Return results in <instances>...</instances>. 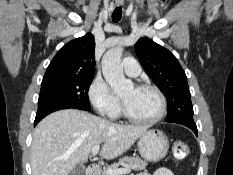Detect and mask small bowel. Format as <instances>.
<instances>
[{"label":"small bowel","instance_id":"small-bowel-1","mask_svg":"<svg viewBox=\"0 0 233 175\" xmlns=\"http://www.w3.org/2000/svg\"><path fill=\"white\" fill-rule=\"evenodd\" d=\"M136 175H174L173 172L168 168H159L153 174H150L146 171L139 172Z\"/></svg>","mask_w":233,"mask_h":175}]
</instances>
